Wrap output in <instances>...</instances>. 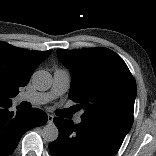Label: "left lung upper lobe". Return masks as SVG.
Wrapping results in <instances>:
<instances>
[{
  "mask_svg": "<svg viewBox=\"0 0 156 156\" xmlns=\"http://www.w3.org/2000/svg\"><path fill=\"white\" fill-rule=\"evenodd\" d=\"M57 55L71 72L69 98L85 110L82 121L112 123L129 131L136 83L121 57L107 48L58 49Z\"/></svg>",
  "mask_w": 156,
  "mask_h": 156,
  "instance_id": "obj_1",
  "label": "left lung upper lobe"
}]
</instances>
